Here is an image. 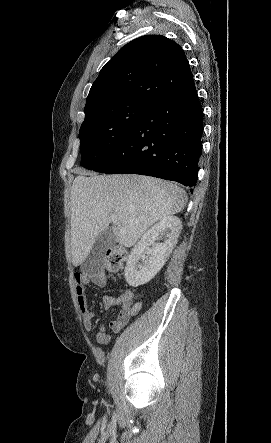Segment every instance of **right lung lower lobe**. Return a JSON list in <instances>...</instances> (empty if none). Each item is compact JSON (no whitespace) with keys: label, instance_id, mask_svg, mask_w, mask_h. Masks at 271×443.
Masks as SVG:
<instances>
[{"label":"right lung lower lobe","instance_id":"1","mask_svg":"<svg viewBox=\"0 0 271 443\" xmlns=\"http://www.w3.org/2000/svg\"><path fill=\"white\" fill-rule=\"evenodd\" d=\"M202 133V106L193 84L152 101L114 154L94 171L154 176L192 191Z\"/></svg>","mask_w":271,"mask_h":443}]
</instances>
